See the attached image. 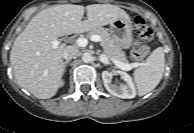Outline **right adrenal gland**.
<instances>
[{
    "label": "right adrenal gland",
    "instance_id": "obj_1",
    "mask_svg": "<svg viewBox=\"0 0 194 133\" xmlns=\"http://www.w3.org/2000/svg\"><path fill=\"white\" fill-rule=\"evenodd\" d=\"M68 64H69V60H67V61L64 62V71H65L66 66H67Z\"/></svg>",
    "mask_w": 194,
    "mask_h": 133
}]
</instances>
